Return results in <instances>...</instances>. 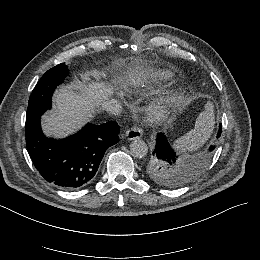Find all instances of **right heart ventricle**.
<instances>
[{
  "mask_svg": "<svg viewBox=\"0 0 260 260\" xmlns=\"http://www.w3.org/2000/svg\"><path fill=\"white\" fill-rule=\"evenodd\" d=\"M174 74L164 68L146 67L139 72L136 78L129 76L127 79H120L119 84L124 92L135 94L141 89L149 88L152 84L168 81Z\"/></svg>",
  "mask_w": 260,
  "mask_h": 260,
  "instance_id": "e07e8e85",
  "label": "right heart ventricle"
}]
</instances>
